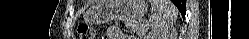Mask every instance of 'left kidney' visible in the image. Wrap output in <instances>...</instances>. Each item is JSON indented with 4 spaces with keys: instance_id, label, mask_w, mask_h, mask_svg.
Instances as JSON below:
<instances>
[{
    "instance_id": "obj_1",
    "label": "left kidney",
    "mask_w": 249,
    "mask_h": 39,
    "mask_svg": "<svg viewBox=\"0 0 249 39\" xmlns=\"http://www.w3.org/2000/svg\"><path fill=\"white\" fill-rule=\"evenodd\" d=\"M146 39H174L172 35L168 33V31L163 32L161 34L156 32H151L146 36Z\"/></svg>"
}]
</instances>
